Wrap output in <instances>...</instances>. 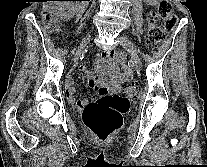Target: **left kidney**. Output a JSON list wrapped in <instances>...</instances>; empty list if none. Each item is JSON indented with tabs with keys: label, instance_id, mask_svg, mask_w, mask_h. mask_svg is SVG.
Returning a JSON list of instances; mask_svg holds the SVG:
<instances>
[{
	"label": "left kidney",
	"instance_id": "1",
	"mask_svg": "<svg viewBox=\"0 0 207 167\" xmlns=\"http://www.w3.org/2000/svg\"><path fill=\"white\" fill-rule=\"evenodd\" d=\"M144 1L148 4H151V5L156 3V0H144Z\"/></svg>",
	"mask_w": 207,
	"mask_h": 167
}]
</instances>
